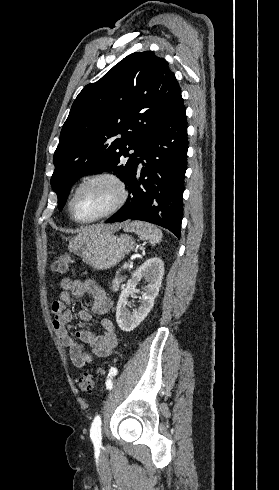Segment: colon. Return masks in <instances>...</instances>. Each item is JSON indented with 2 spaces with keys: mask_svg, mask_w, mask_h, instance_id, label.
<instances>
[{
  "mask_svg": "<svg viewBox=\"0 0 279 490\" xmlns=\"http://www.w3.org/2000/svg\"><path fill=\"white\" fill-rule=\"evenodd\" d=\"M69 264V255L60 254L53 259L52 269L58 274H65L68 270ZM77 384L81 392L91 393L95 387V380L90 372L84 371L77 378Z\"/></svg>",
  "mask_w": 279,
  "mask_h": 490,
  "instance_id": "1",
  "label": "colon"
}]
</instances>
